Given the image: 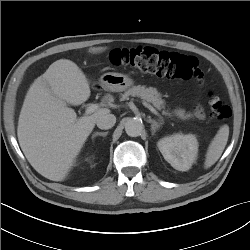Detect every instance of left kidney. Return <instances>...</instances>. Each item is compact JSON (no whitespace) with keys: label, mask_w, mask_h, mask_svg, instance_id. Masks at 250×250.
<instances>
[{"label":"left kidney","mask_w":250,"mask_h":250,"mask_svg":"<svg viewBox=\"0 0 250 250\" xmlns=\"http://www.w3.org/2000/svg\"><path fill=\"white\" fill-rule=\"evenodd\" d=\"M157 146L164 159L178 171H187L195 162L198 142L193 134H174L160 139Z\"/></svg>","instance_id":"left-kidney-1"}]
</instances>
